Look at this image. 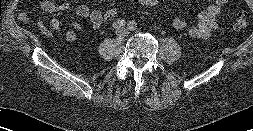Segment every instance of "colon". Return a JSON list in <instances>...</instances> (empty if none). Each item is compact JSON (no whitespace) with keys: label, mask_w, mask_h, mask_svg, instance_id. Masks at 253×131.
Masks as SVG:
<instances>
[{"label":"colon","mask_w":253,"mask_h":131,"mask_svg":"<svg viewBox=\"0 0 253 131\" xmlns=\"http://www.w3.org/2000/svg\"><path fill=\"white\" fill-rule=\"evenodd\" d=\"M160 0H135L136 3H139L144 6H155ZM121 8L118 5L111 6L103 11L104 22H112L120 16ZM247 12L241 10L237 13L232 28L234 30H242L247 27Z\"/></svg>","instance_id":"obj_1"}]
</instances>
